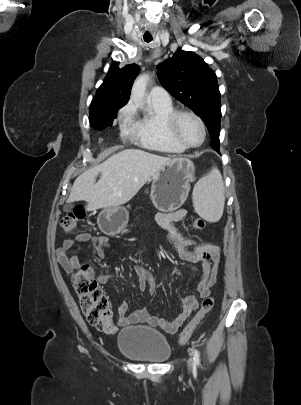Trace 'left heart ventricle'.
Listing matches in <instances>:
<instances>
[{
    "instance_id": "left-heart-ventricle-1",
    "label": "left heart ventricle",
    "mask_w": 301,
    "mask_h": 405,
    "mask_svg": "<svg viewBox=\"0 0 301 405\" xmlns=\"http://www.w3.org/2000/svg\"><path fill=\"white\" fill-rule=\"evenodd\" d=\"M178 132L182 139L190 145H196L202 139L201 127L191 116L181 117L178 123Z\"/></svg>"
}]
</instances>
